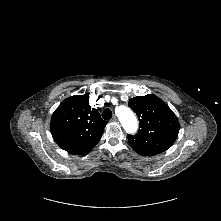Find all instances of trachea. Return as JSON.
Here are the masks:
<instances>
[{
	"mask_svg": "<svg viewBox=\"0 0 221 221\" xmlns=\"http://www.w3.org/2000/svg\"><path fill=\"white\" fill-rule=\"evenodd\" d=\"M102 117L103 119L105 120H109L111 117H112V111L110 109H105L103 112H102Z\"/></svg>",
	"mask_w": 221,
	"mask_h": 221,
	"instance_id": "obj_1",
	"label": "trachea"
}]
</instances>
